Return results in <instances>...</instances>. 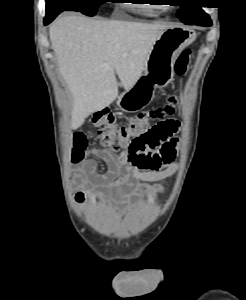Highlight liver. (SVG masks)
I'll return each instance as SVG.
<instances>
[{
  "label": "liver",
  "mask_w": 246,
  "mask_h": 300,
  "mask_svg": "<svg viewBox=\"0 0 246 300\" xmlns=\"http://www.w3.org/2000/svg\"><path fill=\"white\" fill-rule=\"evenodd\" d=\"M170 25L99 21L80 15L57 19L49 28L59 71L73 97L72 129L118 97V75L129 90L141 77L153 43Z\"/></svg>",
  "instance_id": "6515ba94"
}]
</instances>
